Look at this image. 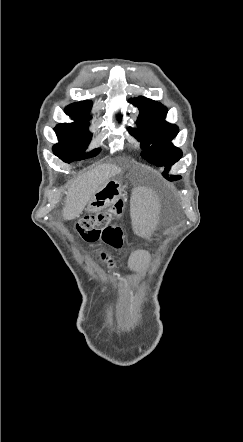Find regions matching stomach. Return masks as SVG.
Listing matches in <instances>:
<instances>
[{
	"instance_id": "1",
	"label": "stomach",
	"mask_w": 243,
	"mask_h": 442,
	"mask_svg": "<svg viewBox=\"0 0 243 442\" xmlns=\"http://www.w3.org/2000/svg\"><path fill=\"white\" fill-rule=\"evenodd\" d=\"M122 185L116 179L106 181L89 201L86 211L88 213L99 212L112 205L122 195Z\"/></svg>"
}]
</instances>
